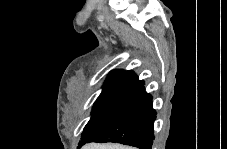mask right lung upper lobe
<instances>
[{
	"label": "right lung upper lobe",
	"instance_id": "1",
	"mask_svg": "<svg viewBox=\"0 0 227 149\" xmlns=\"http://www.w3.org/2000/svg\"><path fill=\"white\" fill-rule=\"evenodd\" d=\"M113 87L141 90L144 87V81L139 80L137 75L131 70L117 69L109 73L103 85L104 89Z\"/></svg>",
	"mask_w": 227,
	"mask_h": 149
}]
</instances>
